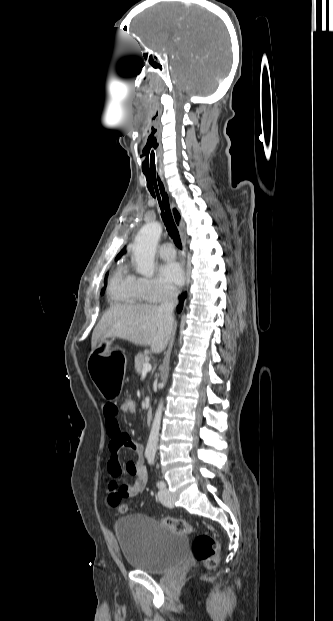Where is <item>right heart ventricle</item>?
Instances as JSON below:
<instances>
[{
  "label": "right heart ventricle",
  "mask_w": 333,
  "mask_h": 621,
  "mask_svg": "<svg viewBox=\"0 0 333 621\" xmlns=\"http://www.w3.org/2000/svg\"><path fill=\"white\" fill-rule=\"evenodd\" d=\"M108 297L114 303L137 304L144 300L137 286V278L126 264H120L114 271L108 286Z\"/></svg>",
  "instance_id": "1"
}]
</instances>
